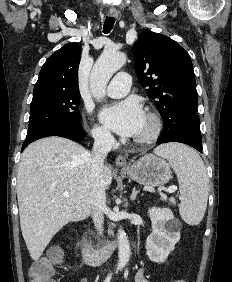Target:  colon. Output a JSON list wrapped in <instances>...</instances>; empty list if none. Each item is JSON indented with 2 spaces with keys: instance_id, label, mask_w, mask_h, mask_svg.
Returning a JSON list of instances; mask_svg holds the SVG:
<instances>
[{
  "instance_id": "colon-1",
  "label": "colon",
  "mask_w": 232,
  "mask_h": 282,
  "mask_svg": "<svg viewBox=\"0 0 232 282\" xmlns=\"http://www.w3.org/2000/svg\"><path fill=\"white\" fill-rule=\"evenodd\" d=\"M60 259V253L56 252L49 258H40L36 260L30 268L29 282H55V264ZM174 282H185L176 280Z\"/></svg>"
}]
</instances>
